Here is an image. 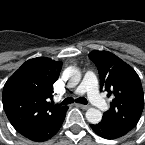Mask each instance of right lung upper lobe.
<instances>
[{"label":"right lung upper lobe","mask_w":145,"mask_h":145,"mask_svg":"<svg viewBox=\"0 0 145 145\" xmlns=\"http://www.w3.org/2000/svg\"><path fill=\"white\" fill-rule=\"evenodd\" d=\"M62 62L40 57L26 61L5 83L3 108L22 135L48 125L67 107L53 102V83L57 81Z\"/></svg>","instance_id":"right-lung-upper-lobe-1"}]
</instances>
